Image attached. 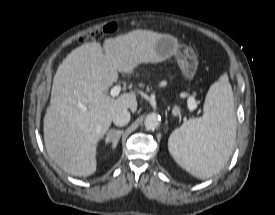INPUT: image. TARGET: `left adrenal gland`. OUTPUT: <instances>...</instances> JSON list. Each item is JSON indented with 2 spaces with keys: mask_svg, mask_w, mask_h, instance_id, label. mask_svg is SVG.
<instances>
[{
  "mask_svg": "<svg viewBox=\"0 0 275 215\" xmlns=\"http://www.w3.org/2000/svg\"><path fill=\"white\" fill-rule=\"evenodd\" d=\"M172 115L175 117V116H178L179 117V120L181 119V113H180V109L178 106H175L172 110Z\"/></svg>",
  "mask_w": 275,
  "mask_h": 215,
  "instance_id": "left-adrenal-gland-1",
  "label": "left adrenal gland"
}]
</instances>
